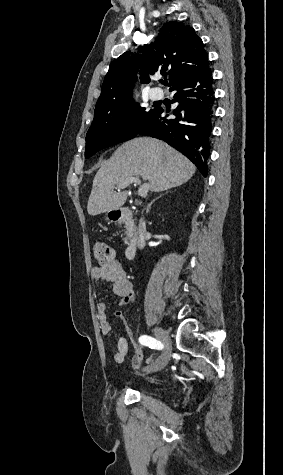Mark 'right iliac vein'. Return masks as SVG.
<instances>
[{
    "instance_id": "obj_1",
    "label": "right iliac vein",
    "mask_w": 283,
    "mask_h": 475,
    "mask_svg": "<svg viewBox=\"0 0 283 475\" xmlns=\"http://www.w3.org/2000/svg\"><path fill=\"white\" fill-rule=\"evenodd\" d=\"M154 332H155V336L162 342V344L164 346V350H163V353L161 354V356L149 368V371L157 372V371L165 368V366L170 361L172 346H171V342H170V339H169L168 332L166 330H164L161 327H156Z\"/></svg>"
}]
</instances>
